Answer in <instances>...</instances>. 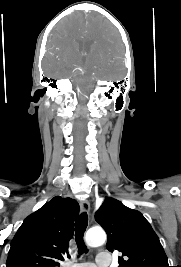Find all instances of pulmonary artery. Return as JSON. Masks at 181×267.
<instances>
[{
	"label": "pulmonary artery",
	"mask_w": 181,
	"mask_h": 267,
	"mask_svg": "<svg viewBox=\"0 0 181 267\" xmlns=\"http://www.w3.org/2000/svg\"><path fill=\"white\" fill-rule=\"evenodd\" d=\"M111 264V259L106 255L105 252H100L97 256L96 263H80L75 265H70L69 267H109Z\"/></svg>",
	"instance_id": "obj_1"
}]
</instances>
